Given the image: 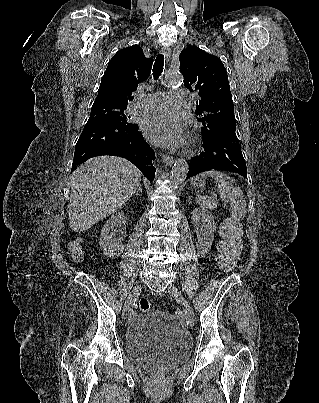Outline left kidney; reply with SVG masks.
<instances>
[{"mask_svg":"<svg viewBox=\"0 0 319 403\" xmlns=\"http://www.w3.org/2000/svg\"><path fill=\"white\" fill-rule=\"evenodd\" d=\"M192 223L196 229V247L200 255H205L213 243L216 224L211 212L196 208L192 212Z\"/></svg>","mask_w":319,"mask_h":403,"instance_id":"5707ae66","label":"left kidney"}]
</instances>
